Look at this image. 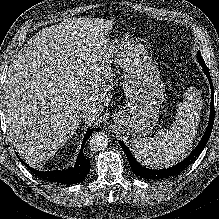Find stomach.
<instances>
[{
    "mask_svg": "<svg viewBox=\"0 0 219 219\" xmlns=\"http://www.w3.org/2000/svg\"><path fill=\"white\" fill-rule=\"evenodd\" d=\"M106 56L124 71L122 87L127 102L114 114V123L126 138H141L152 131L159 118L164 100L160 72L144 46L134 39L111 41Z\"/></svg>",
    "mask_w": 219,
    "mask_h": 219,
    "instance_id": "obj_1",
    "label": "stomach"
}]
</instances>
